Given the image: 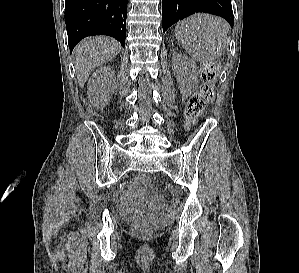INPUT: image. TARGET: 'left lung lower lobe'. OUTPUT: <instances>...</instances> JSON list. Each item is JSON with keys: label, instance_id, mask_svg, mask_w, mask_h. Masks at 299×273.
<instances>
[{"label": "left lung lower lobe", "instance_id": "0a47b994", "mask_svg": "<svg viewBox=\"0 0 299 273\" xmlns=\"http://www.w3.org/2000/svg\"><path fill=\"white\" fill-rule=\"evenodd\" d=\"M198 12L223 17L232 27L234 25L231 0H162L163 32L177 21Z\"/></svg>", "mask_w": 299, "mask_h": 273}]
</instances>
